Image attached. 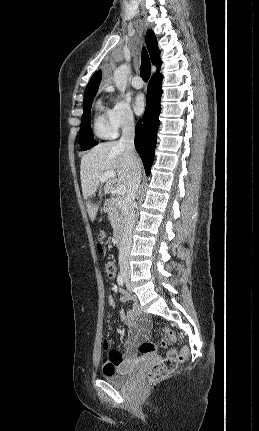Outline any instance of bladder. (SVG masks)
I'll use <instances>...</instances> for the list:
<instances>
[{"mask_svg":"<svg viewBox=\"0 0 259 431\" xmlns=\"http://www.w3.org/2000/svg\"><path fill=\"white\" fill-rule=\"evenodd\" d=\"M136 362H128L120 365L111 372H104L103 378L112 385L120 386L125 384L138 370Z\"/></svg>","mask_w":259,"mask_h":431,"instance_id":"obj_1","label":"bladder"}]
</instances>
